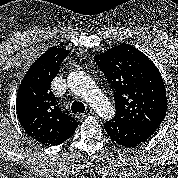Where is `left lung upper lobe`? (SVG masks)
Listing matches in <instances>:
<instances>
[{"instance_id": "5c2ea615", "label": "left lung upper lobe", "mask_w": 178, "mask_h": 178, "mask_svg": "<svg viewBox=\"0 0 178 178\" xmlns=\"http://www.w3.org/2000/svg\"><path fill=\"white\" fill-rule=\"evenodd\" d=\"M94 59L114 91L113 119L159 127L166 114L167 97L162 76L154 63L125 43Z\"/></svg>"}]
</instances>
